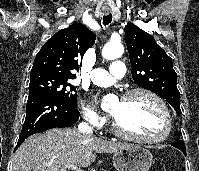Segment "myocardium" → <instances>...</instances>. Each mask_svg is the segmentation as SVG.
Returning a JSON list of instances; mask_svg holds the SVG:
<instances>
[{"mask_svg": "<svg viewBox=\"0 0 199 171\" xmlns=\"http://www.w3.org/2000/svg\"><path fill=\"white\" fill-rule=\"evenodd\" d=\"M136 94H144L147 95L148 97H150L151 99L154 100V102L158 105V107L160 108V110L162 111V114L164 116L165 119V129L164 132L162 133V135L158 136V137H146V136H141L135 133H132L128 130H126L120 123L119 121L113 116V129L114 131L127 139H131L137 142H142V143H150V144H156V143H161L166 141L172 132V118H171V114L169 111L168 106L166 105L165 101L155 92H153L150 89L144 88V87H136V88H132L127 90L126 92L123 93L121 99L125 100L133 95Z\"/></svg>", "mask_w": 199, "mask_h": 171, "instance_id": "1", "label": "myocardium"}]
</instances>
